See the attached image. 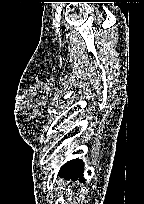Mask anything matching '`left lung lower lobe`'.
<instances>
[{
	"mask_svg": "<svg viewBox=\"0 0 144 204\" xmlns=\"http://www.w3.org/2000/svg\"><path fill=\"white\" fill-rule=\"evenodd\" d=\"M84 165L81 160H71L67 162L60 169L58 176L65 179L76 180L79 178L81 182H84L83 178Z\"/></svg>",
	"mask_w": 144,
	"mask_h": 204,
	"instance_id": "1",
	"label": "left lung lower lobe"
}]
</instances>
